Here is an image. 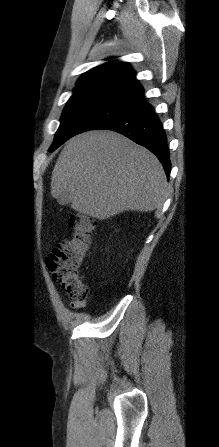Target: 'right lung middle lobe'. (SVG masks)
<instances>
[{
	"label": "right lung middle lobe",
	"instance_id": "right-lung-middle-lobe-1",
	"mask_svg": "<svg viewBox=\"0 0 219 447\" xmlns=\"http://www.w3.org/2000/svg\"><path fill=\"white\" fill-rule=\"evenodd\" d=\"M142 103L141 99L111 88H75L64 108L60 127L49 151H53L72 136L95 130Z\"/></svg>",
	"mask_w": 219,
	"mask_h": 447
}]
</instances>
